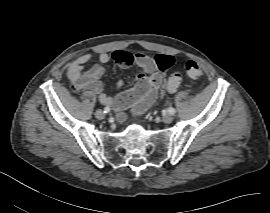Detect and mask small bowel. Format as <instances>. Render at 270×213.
Returning <instances> with one entry per match:
<instances>
[{"label":"small bowel","mask_w":270,"mask_h":213,"mask_svg":"<svg viewBox=\"0 0 270 213\" xmlns=\"http://www.w3.org/2000/svg\"><path fill=\"white\" fill-rule=\"evenodd\" d=\"M160 57L170 58V64L164 67L157 59L149 58L143 54H138L134 57L132 63L143 69L145 75L139 77L133 91L140 94V98L133 109L135 114H141L154 103L157 98L158 91L163 84L164 76L161 71L168 70L174 64V58L167 55ZM91 55L88 53L80 55L72 61L68 67V77L72 85L77 89L89 90L98 94L99 100L106 106L113 107L117 112L127 107V103L123 95L111 97L103 93V84L101 77L104 73V68L101 65H94L89 70H85V64L90 60ZM114 59L119 67L125 68L128 63L120 62L112 57L107 52L101 51L98 53V60L100 64H107ZM118 88L124 87V82L119 81Z\"/></svg>","instance_id":"obj_1"}]
</instances>
